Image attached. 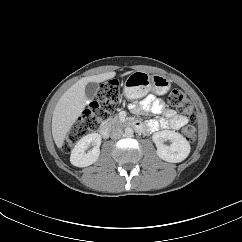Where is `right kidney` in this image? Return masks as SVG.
Listing matches in <instances>:
<instances>
[{
    "instance_id": "ca27d5eb",
    "label": "right kidney",
    "mask_w": 242,
    "mask_h": 242,
    "mask_svg": "<svg viewBox=\"0 0 242 242\" xmlns=\"http://www.w3.org/2000/svg\"><path fill=\"white\" fill-rule=\"evenodd\" d=\"M101 136L98 133L88 134L82 137L74 146L70 162L77 167H87L95 163L100 154ZM92 145V150L86 152L88 147Z\"/></svg>"
}]
</instances>
